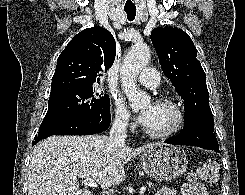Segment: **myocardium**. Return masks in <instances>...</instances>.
Masks as SVG:
<instances>
[{
  "label": "myocardium",
  "mask_w": 245,
  "mask_h": 195,
  "mask_svg": "<svg viewBox=\"0 0 245 195\" xmlns=\"http://www.w3.org/2000/svg\"><path fill=\"white\" fill-rule=\"evenodd\" d=\"M156 103L172 107L176 111V114H177L176 121L170 129L162 131V132H154V131L147 129L144 126L143 130L145 134L148 135L150 138H154V139H164V138H168V137L175 135L184 127L185 122H186V114H185V111L182 105L179 102H177L175 99L170 98V97L158 98L156 100Z\"/></svg>",
  "instance_id": "myocardium-1"
}]
</instances>
